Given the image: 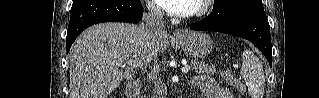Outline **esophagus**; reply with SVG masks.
<instances>
[{
    "label": "esophagus",
    "instance_id": "1",
    "mask_svg": "<svg viewBox=\"0 0 319 98\" xmlns=\"http://www.w3.org/2000/svg\"><path fill=\"white\" fill-rule=\"evenodd\" d=\"M173 36L176 39H180V38H182L184 36V32L182 30L176 29L173 32Z\"/></svg>",
    "mask_w": 319,
    "mask_h": 98
}]
</instances>
